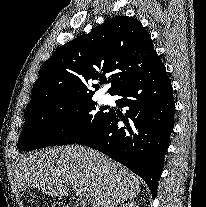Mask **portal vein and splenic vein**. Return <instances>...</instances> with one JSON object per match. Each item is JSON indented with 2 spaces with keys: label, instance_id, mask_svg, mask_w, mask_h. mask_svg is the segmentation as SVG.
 <instances>
[{
  "label": "portal vein and splenic vein",
  "instance_id": "obj_1",
  "mask_svg": "<svg viewBox=\"0 0 206 207\" xmlns=\"http://www.w3.org/2000/svg\"><path fill=\"white\" fill-rule=\"evenodd\" d=\"M73 189L76 192L77 196H79L80 199L86 200V198H88L87 194L83 190H81L77 187H73Z\"/></svg>",
  "mask_w": 206,
  "mask_h": 207
}]
</instances>
